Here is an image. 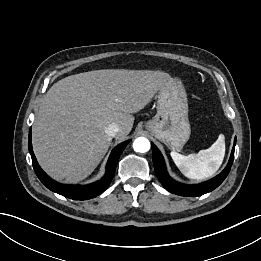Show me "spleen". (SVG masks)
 Returning a JSON list of instances; mask_svg holds the SVG:
<instances>
[{"label":"spleen","mask_w":261,"mask_h":261,"mask_svg":"<svg viewBox=\"0 0 261 261\" xmlns=\"http://www.w3.org/2000/svg\"><path fill=\"white\" fill-rule=\"evenodd\" d=\"M225 155L224 135L220 134L215 143L197 154L181 155L172 151L171 157L181 173L188 178L203 180L213 176L220 168Z\"/></svg>","instance_id":"spleen-1"}]
</instances>
